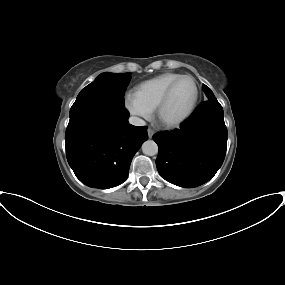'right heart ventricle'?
<instances>
[{"mask_svg": "<svg viewBox=\"0 0 285 285\" xmlns=\"http://www.w3.org/2000/svg\"><path fill=\"white\" fill-rule=\"evenodd\" d=\"M181 74L167 72L141 82L135 87L134 98L150 111L155 110L169 84Z\"/></svg>", "mask_w": 285, "mask_h": 285, "instance_id": "1", "label": "right heart ventricle"}]
</instances>
